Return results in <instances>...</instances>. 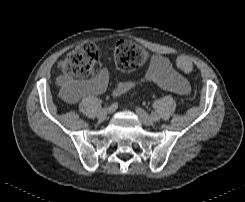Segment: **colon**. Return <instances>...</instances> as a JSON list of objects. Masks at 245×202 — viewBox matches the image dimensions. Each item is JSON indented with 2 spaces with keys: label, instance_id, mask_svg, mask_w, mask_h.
<instances>
[{
  "label": "colon",
  "instance_id": "5ec220e1",
  "mask_svg": "<svg viewBox=\"0 0 245 202\" xmlns=\"http://www.w3.org/2000/svg\"><path fill=\"white\" fill-rule=\"evenodd\" d=\"M115 63L126 72L137 70L148 62V51L130 39H122L115 45ZM99 68V55L95 47L85 43L59 61L58 69L62 74V95L68 99L78 78L94 75ZM181 69L188 73L191 62H185Z\"/></svg>",
  "mask_w": 245,
  "mask_h": 202
}]
</instances>
